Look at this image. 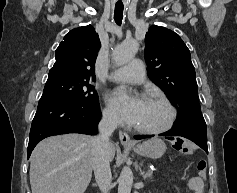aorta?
<instances>
[{
    "mask_svg": "<svg viewBox=\"0 0 237 193\" xmlns=\"http://www.w3.org/2000/svg\"><path fill=\"white\" fill-rule=\"evenodd\" d=\"M137 50L138 42L136 40H126L115 47L113 51V59L118 66L124 65L135 56ZM118 182V193H131L133 173L130 167H123Z\"/></svg>",
    "mask_w": 237,
    "mask_h": 193,
    "instance_id": "1",
    "label": "aorta"
}]
</instances>
